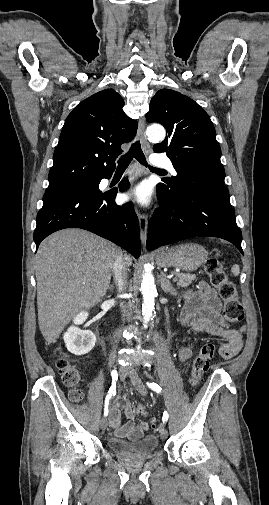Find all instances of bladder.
<instances>
[{"instance_id": "31cf9c89", "label": "bladder", "mask_w": 269, "mask_h": 505, "mask_svg": "<svg viewBox=\"0 0 269 505\" xmlns=\"http://www.w3.org/2000/svg\"><path fill=\"white\" fill-rule=\"evenodd\" d=\"M158 439L148 434L136 440L112 437L108 440L109 449L124 459H141L153 455L158 448Z\"/></svg>"}]
</instances>
